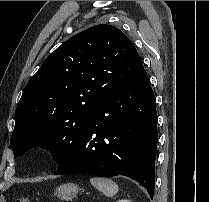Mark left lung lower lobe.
<instances>
[{
	"instance_id": "obj_1",
	"label": "left lung lower lobe",
	"mask_w": 209,
	"mask_h": 202,
	"mask_svg": "<svg viewBox=\"0 0 209 202\" xmlns=\"http://www.w3.org/2000/svg\"><path fill=\"white\" fill-rule=\"evenodd\" d=\"M157 121L156 99L144 69L89 113L82 138L55 174L127 176L153 199Z\"/></svg>"
}]
</instances>
